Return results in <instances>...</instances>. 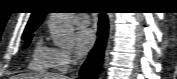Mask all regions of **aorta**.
<instances>
[{
	"mask_svg": "<svg viewBox=\"0 0 177 79\" xmlns=\"http://www.w3.org/2000/svg\"><path fill=\"white\" fill-rule=\"evenodd\" d=\"M70 13H51L49 30L54 45L69 47L72 45L74 26Z\"/></svg>",
	"mask_w": 177,
	"mask_h": 79,
	"instance_id": "aorta-1",
	"label": "aorta"
}]
</instances>
